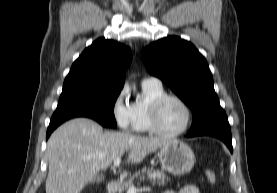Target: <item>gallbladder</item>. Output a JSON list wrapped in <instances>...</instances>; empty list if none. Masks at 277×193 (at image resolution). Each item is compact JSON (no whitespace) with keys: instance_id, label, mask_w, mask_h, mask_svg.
Segmentation results:
<instances>
[{"instance_id":"obj_1","label":"gallbladder","mask_w":277,"mask_h":193,"mask_svg":"<svg viewBox=\"0 0 277 193\" xmlns=\"http://www.w3.org/2000/svg\"><path fill=\"white\" fill-rule=\"evenodd\" d=\"M102 181H104V176L98 175V176H96V178L93 179L92 183L97 184V183H100Z\"/></svg>"}]
</instances>
